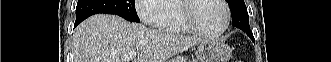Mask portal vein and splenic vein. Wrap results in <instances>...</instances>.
Returning <instances> with one entry per match:
<instances>
[{
  "instance_id": "1",
  "label": "portal vein and splenic vein",
  "mask_w": 331,
  "mask_h": 62,
  "mask_svg": "<svg viewBox=\"0 0 331 62\" xmlns=\"http://www.w3.org/2000/svg\"><path fill=\"white\" fill-rule=\"evenodd\" d=\"M136 57V52H130L126 55V59H134Z\"/></svg>"
}]
</instances>
